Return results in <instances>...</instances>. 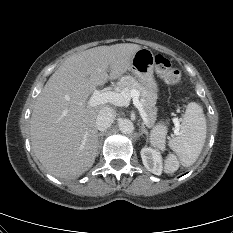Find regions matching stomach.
I'll list each match as a JSON object with an SVG mask.
<instances>
[{"instance_id":"1","label":"stomach","mask_w":233,"mask_h":233,"mask_svg":"<svg viewBox=\"0 0 233 233\" xmlns=\"http://www.w3.org/2000/svg\"><path fill=\"white\" fill-rule=\"evenodd\" d=\"M154 62L155 56L153 52L146 47L141 48L135 53L129 71L135 75L138 82L141 83L148 92L156 96L158 85L153 75Z\"/></svg>"}]
</instances>
